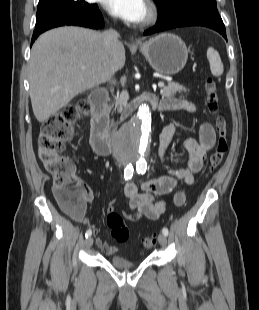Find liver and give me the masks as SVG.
Instances as JSON below:
<instances>
[{
  "mask_svg": "<svg viewBox=\"0 0 259 310\" xmlns=\"http://www.w3.org/2000/svg\"><path fill=\"white\" fill-rule=\"evenodd\" d=\"M124 65L123 44L106 49L100 32L73 26L45 32L33 44L29 63L36 119L45 122L78 94L111 79Z\"/></svg>",
  "mask_w": 259,
  "mask_h": 310,
  "instance_id": "obj_1",
  "label": "liver"
}]
</instances>
